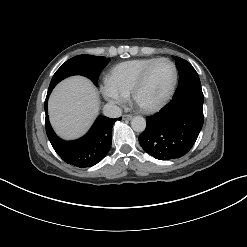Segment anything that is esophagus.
Instances as JSON below:
<instances>
[{
    "instance_id": "obj_1",
    "label": "esophagus",
    "mask_w": 247,
    "mask_h": 247,
    "mask_svg": "<svg viewBox=\"0 0 247 247\" xmlns=\"http://www.w3.org/2000/svg\"><path fill=\"white\" fill-rule=\"evenodd\" d=\"M122 117L124 120H131L132 119V115H130V114H124Z\"/></svg>"
}]
</instances>
